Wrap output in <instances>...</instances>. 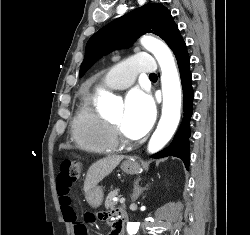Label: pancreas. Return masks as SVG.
<instances>
[{
	"label": "pancreas",
	"instance_id": "obj_1",
	"mask_svg": "<svg viewBox=\"0 0 250 235\" xmlns=\"http://www.w3.org/2000/svg\"><path fill=\"white\" fill-rule=\"evenodd\" d=\"M118 195V190L111 191L106 197L105 207L106 208H114L116 203L113 201V198Z\"/></svg>",
	"mask_w": 250,
	"mask_h": 235
}]
</instances>
